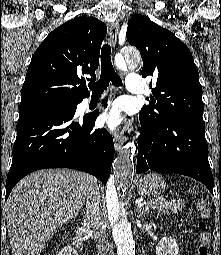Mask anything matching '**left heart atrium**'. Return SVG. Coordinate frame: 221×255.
I'll return each instance as SVG.
<instances>
[{
  "label": "left heart atrium",
  "instance_id": "1",
  "mask_svg": "<svg viewBox=\"0 0 221 255\" xmlns=\"http://www.w3.org/2000/svg\"><path fill=\"white\" fill-rule=\"evenodd\" d=\"M102 120L110 127H118L123 119L122 106L119 102H114L111 107L103 114Z\"/></svg>",
  "mask_w": 221,
  "mask_h": 255
}]
</instances>
